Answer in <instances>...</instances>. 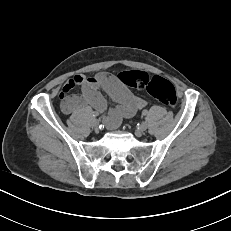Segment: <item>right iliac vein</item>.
Returning <instances> with one entry per match:
<instances>
[{
	"label": "right iliac vein",
	"mask_w": 231,
	"mask_h": 231,
	"mask_svg": "<svg viewBox=\"0 0 231 231\" xmlns=\"http://www.w3.org/2000/svg\"><path fill=\"white\" fill-rule=\"evenodd\" d=\"M93 127H94L95 129H98V128H99V121H98L97 119H94V120H93Z\"/></svg>",
	"instance_id": "1"
}]
</instances>
